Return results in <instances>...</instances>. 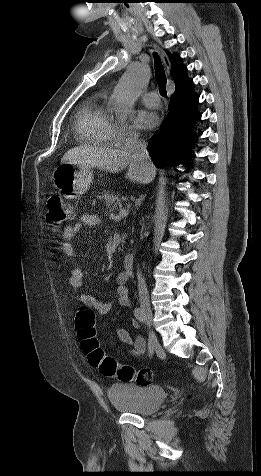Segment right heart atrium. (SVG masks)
<instances>
[{
    "label": "right heart atrium",
    "instance_id": "d8ad5b80",
    "mask_svg": "<svg viewBox=\"0 0 261 476\" xmlns=\"http://www.w3.org/2000/svg\"><path fill=\"white\" fill-rule=\"evenodd\" d=\"M137 136V132L131 125L128 124H117L114 127L113 138L116 141H123L130 137Z\"/></svg>",
    "mask_w": 261,
    "mask_h": 476
}]
</instances>
